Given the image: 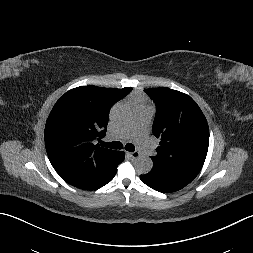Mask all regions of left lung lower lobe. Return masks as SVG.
<instances>
[{
	"label": "left lung lower lobe",
	"instance_id": "1",
	"mask_svg": "<svg viewBox=\"0 0 253 253\" xmlns=\"http://www.w3.org/2000/svg\"><path fill=\"white\" fill-rule=\"evenodd\" d=\"M140 179L152 189L168 193L182 189L194 178L171 170L153 167L151 172L141 175Z\"/></svg>",
	"mask_w": 253,
	"mask_h": 253
}]
</instances>
